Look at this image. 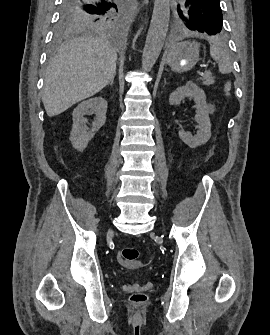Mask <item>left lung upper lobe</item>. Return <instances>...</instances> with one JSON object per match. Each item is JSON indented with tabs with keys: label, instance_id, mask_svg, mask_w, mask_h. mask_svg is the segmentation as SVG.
<instances>
[{
	"label": "left lung upper lobe",
	"instance_id": "1",
	"mask_svg": "<svg viewBox=\"0 0 270 335\" xmlns=\"http://www.w3.org/2000/svg\"><path fill=\"white\" fill-rule=\"evenodd\" d=\"M178 14L191 30L208 35H218L222 31L220 0H186L178 5Z\"/></svg>",
	"mask_w": 270,
	"mask_h": 335
}]
</instances>
